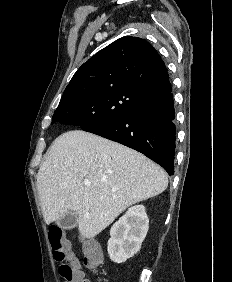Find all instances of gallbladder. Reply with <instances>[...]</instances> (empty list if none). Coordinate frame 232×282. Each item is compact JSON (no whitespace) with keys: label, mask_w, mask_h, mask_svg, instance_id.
<instances>
[{"label":"gallbladder","mask_w":232,"mask_h":282,"mask_svg":"<svg viewBox=\"0 0 232 282\" xmlns=\"http://www.w3.org/2000/svg\"><path fill=\"white\" fill-rule=\"evenodd\" d=\"M77 219V214L74 211H69L56 220V225L62 229H71L77 225Z\"/></svg>","instance_id":"1"}]
</instances>
